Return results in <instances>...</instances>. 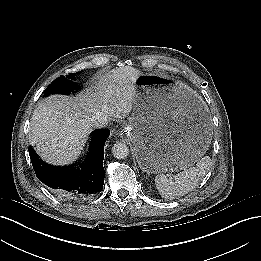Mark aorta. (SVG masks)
Listing matches in <instances>:
<instances>
[{
  "label": "aorta",
  "instance_id": "aorta-1",
  "mask_svg": "<svg viewBox=\"0 0 261 261\" xmlns=\"http://www.w3.org/2000/svg\"><path fill=\"white\" fill-rule=\"evenodd\" d=\"M112 154L116 159H125L129 154V149L126 144L118 142L112 146Z\"/></svg>",
  "mask_w": 261,
  "mask_h": 261
}]
</instances>
